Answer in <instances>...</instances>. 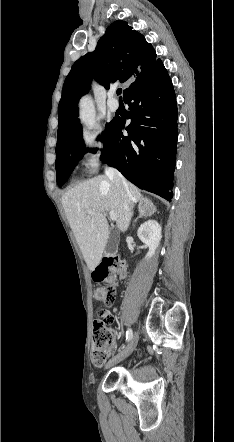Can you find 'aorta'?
<instances>
[{"label":"aorta","mask_w":234,"mask_h":442,"mask_svg":"<svg viewBox=\"0 0 234 442\" xmlns=\"http://www.w3.org/2000/svg\"><path fill=\"white\" fill-rule=\"evenodd\" d=\"M80 120L88 128L94 126L95 111L93 101L90 97H84L80 101Z\"/></svg>","instance_id":"762f6f07"}]
</instances>
